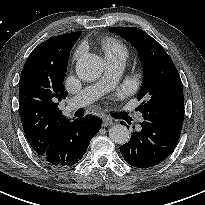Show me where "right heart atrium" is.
I'll list each match as a JSON object with an SVG mask.
<instances>
[{"instance_id": "1", "label": "right heart atrium", "mask_w": 205, "mask_h": 205, "mask_svg": "<svg viewBox=\"0 0 205 205\" xmlns=\"http://www.w3.org/2000/svg\"><path fill=\"white\" fill-rule=\"evenodd\" d=\"M82 51L83 49L81 47H79L76 51H75V54H74V58H79L82 54Z\"/></svg>"}]
</instances>
